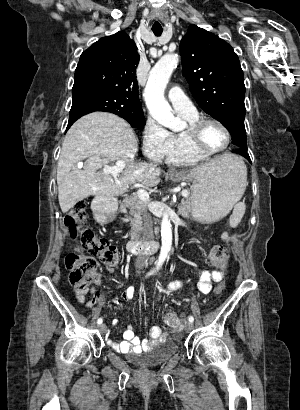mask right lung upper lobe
<instances>
[{"label": "right lung upper lobe", "mask_w": 300, "mask_h": 410, "mask_svg": "<svg viewBox=\"0 0 300 410\" xmlns=\"http://www.w3.org/2000/svg\"><path fill=\"white\" fill-rule=\"evenodd\" d=\"M139 60L135 42L126 33L103 37L81 54L74 85L91 84L113 93L122 102L123 115L143 113L136 81Z\"/></svg>", "instance_id": "obj_1"}]
</instances>
